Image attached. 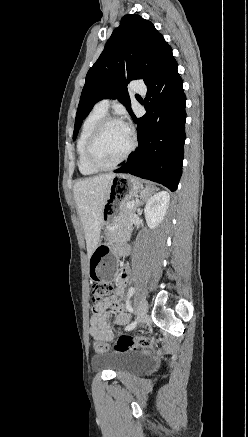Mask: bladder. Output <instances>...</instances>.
<instances>
[{
    "mask_svg": "<svg viewBox=\"0 0 248 437\" xmlns=\"http://www.w3.org/2000/svg\"><path fill=\"white\" fill-rule=\"evenodd\" d=\"M93 363L97 366H106L117 374L146 368L150 365L151 359L148 355L139 352L121 353L118 355H96Z\"/></svg>",
    "mask_w": 248,
    "mask_h": 437,
    "instance_id": "bladder-1",
    "label": "bladder"
}]
</instances>
